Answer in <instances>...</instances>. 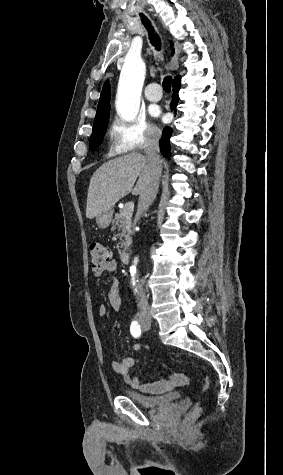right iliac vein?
I'll list each match as a JSON object with an SVG mask.
<instances>
[{
  "mask_svg": "<svg viewBox=\"0 0 283 475\" xmlns=\"http://www.w3.org/2000/svg\"><path fill=\"white\" fill-rule=\"evenodd\" d=\"M145 319H147V317H146V318H144V319H143V321H145Z\"/></svg>",
  "mask_w": 283,
  "mask_h": 475,
  "instance_id": "1",
  "label": "right iliac vein"
}]
</instances>
